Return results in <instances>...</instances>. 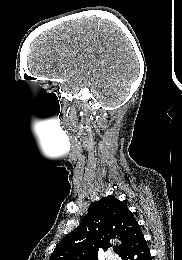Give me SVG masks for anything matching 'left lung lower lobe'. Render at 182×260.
Instances as JSON below:
<instances>
[{"label": "left lung lower lobe", "mask_w": 182, "mask_h": 260, "mask_svg": "<svg viewBox=\"0 0 182 260\" xmlns=\"http://www.w3.org/2000/svg\"><path fill=\"white\" fill-rule=\"evenodd\" d=\"M120 257L122 260H151L150 251L140 226H137L131 233Z\"/></svg>", "instance_id": "obj_1"}]
</instances>
